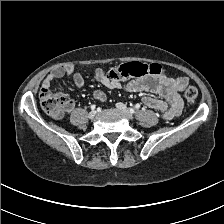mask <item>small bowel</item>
I'll return each instance as SVG.
<instances>
[{
    "label": "small bowel",
    "instance_id": "small-bowel-1",
    "mask_svg": "<svg viewBox=\"0 0 224 224\" xmlns=\"http://www.w3.org/2000/svg\"><path fill=\"white\" fill-rule=\"evenodd\" d=\"M64 76H71L78 90L83 88V76L80 73L75 72L72 65H65L54 69L45 77L42 82V89H50L55 80ZM94 80L109 89L123 88L128 92L145 91L161 96L162 99H158L145 95L142 97V102L149 108L162 112L163 118L167 120L172 119L181 113L183 103L180 97V92H182L189 83V80L186 77H169L165 75L150 76L121 82L119 80L111 79L101 68L95 70ZM93 97L100 102L106 100L105 93L99 89L93 91ZM74 105L73 100H68L67 105L58 118H62L66 112L72 111Z\"/></svg>",
    "mask_w": 224,
    "mask_h": 224
}]
</instances>
